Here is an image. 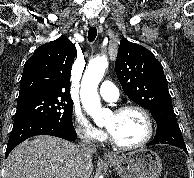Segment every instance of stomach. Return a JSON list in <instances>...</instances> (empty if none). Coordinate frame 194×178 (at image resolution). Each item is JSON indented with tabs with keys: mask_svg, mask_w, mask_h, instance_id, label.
<instances>
[{
	"mask_svg": "<svg viewBox=\"0 0 194 178\" xmlns=\"http://www.w3.org/2000/svg\"><path fill=\"white\" fill-rule=\"evenodd\" d=\"M121 178H159L162 171L160 157L150 149H139L106 160Z\"/></svg>",
	"mask_w": 194,
	"mask_h": 178,
	"instance_id": "stomach-1",
	"label": "stomach"
}]
</instances>
